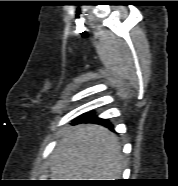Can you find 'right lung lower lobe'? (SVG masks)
<instances>
[{
    "mask_svg": "<svg viewBox=\"0 0 178 186\" xmlns=\"http://www.w3.org/2000/svg\"><path fill=\"white\" fill-rule=\"evenodd\" d=\"M76 122H95L108 127L112 126L107 120L95 117L93 113L81 115L76 119Z\"/></svg>",
    "mask_w": 178,
    "mask_h": 186,
    "instance_id": "98d812e1",
    "label": "right lung lower lobe"
}]
</instances>
